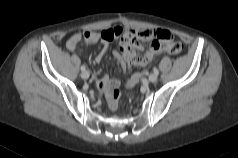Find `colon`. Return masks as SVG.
<instances>
[{
	"mask_svg": "<svg viewBox=\"0 0 238 158\" xmlns=\"http://www.w3.org/2000/svg\"><path fill=\"white\" fill-rule=\"evenodd\" d=\"M102 35L106 39H113V35L110 31H104L102 32ZM162 46L163 49L171 55H179L183 51V45L172 39L165 41ZM105 94L109 105L113 108L117 107L122 99V91L119 82L113 81Z\"/></svg>",
	"mask_w": 238,
	"mask_h": 158,
	"instance_id": "obj_1",
	"label": "colon"
}]
</instances>
